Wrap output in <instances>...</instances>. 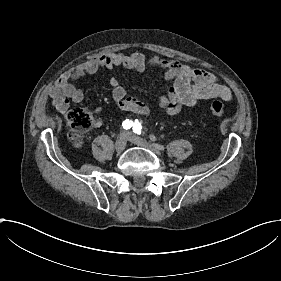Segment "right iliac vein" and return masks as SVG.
Wrapping results in <instances>:
<instances>
[{
    "label": "right iliac vein",
    "mask_w": 281,
    "mask_h": 281,
    "mask_svg": "<svg viewBox=\"0 0 281 281\" xmlns=\"http://www.w3.org/2000/svg\"><path fill=\"white\" fill-rule=\"evenodd\" d=\"M115 145H116V147H115L116 152H118V153L123 152L124 147L126 145L125 138L119 137V139L115 140Z\"/></svg>",
    "instance_id": "63e3f726"
}]
</instances>
